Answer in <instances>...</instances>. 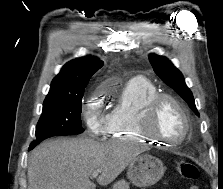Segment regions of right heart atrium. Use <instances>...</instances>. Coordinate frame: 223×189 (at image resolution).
<instances>
[{
    "label": "right heart atrium",
    "mask_w": 223,
    "mask_h": 189,
    "mask_svg": "<svg viewBox=\"0 0 223 189\" xmlns=\"http://www.w3.org/2000/svg\"><path fill=\"white\" fill-rule=\"evenodd\" d=\"M85 119L88 128L94 135L104 132L105 119L102 117L98 108V96H92L85 109Z\"/></svg>",
    "instance_id": "1"
}]
</instances>
